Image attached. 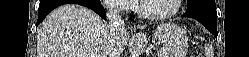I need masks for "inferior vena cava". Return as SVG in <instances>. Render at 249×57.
Listing matches in <instances>:
<instances>
[{
  "label": "inferior vena cava",
  "instance_id": "602c4592",
  "mask_svg": "<svg viewBox=\"0 0 249 57\" xmlns=\"http://www.w3.org/2000/svg\"><path fill=\"white\" fill-rule=\"evenodd\" d=\"M108 26L115 29L124 26V20L116 10L110 9L107 13Z\"/></svg>",
  "mask_w": 249,
  "mask_h": 57
}]
</instances>
